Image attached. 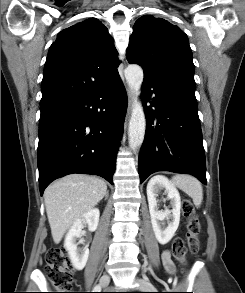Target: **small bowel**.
<instances>
[{"mask_svg":"<svg viewBox=\"0 0 245 293\" xmlns=\"http://www.w3.org/2000/svg\"><path fill=\"white\" fill-rule=\"evenodd\" d=\"M162 260H163V264H164L166 271L169 272L170 274H174L175 273V266H174V263L171 259V255L168 251L163 253Z\"/></svg>","mask_w":245,"mask_h":293,"instance_id":"small-bowel-1","label":"small bowel"}]
</instances>
